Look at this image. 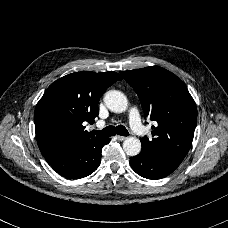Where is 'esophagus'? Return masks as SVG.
Listing matches in <instances>:
<instances>
[{
    "instance_id": "esophagus-1",
    "label": "esophagus",
    "mask_w": 228,
    "mask_h": 228,
    "mask_svg": "<svg viewBox=\"0 0 228 228\" xmlns=\"http://www.w3.org/2000/svg\"><path fill=\"white\" fill-rule=\"evenodd\" d=\"M116 138L119 141H124L127 137L118 135V136H116Z\"/></svg>"
}]
</instances>
